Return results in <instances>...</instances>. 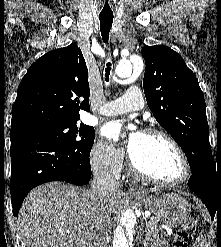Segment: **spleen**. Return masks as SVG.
<instances>
[{
  "label": "spleen",
  "mask_w": 221,
  "mask_h": 247,
  "mask_svg": "<svg viewBox=\"0 0 221 247\" xmlns=\"http://www.w3.org/2000/svg\"><path fill=\"white\" fill-rule=\"evenodd\" d=\"M194 246L195 247H208L207 244L205 243V238L203 234H201V237L197 238Z\"/></svg>",
  "instance_id": "obj_1"
}]
</instances>
